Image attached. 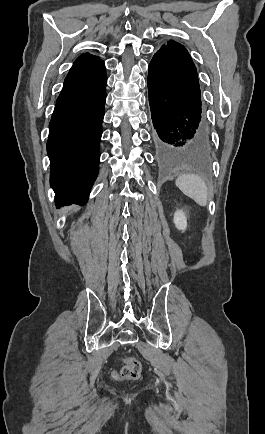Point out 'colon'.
<instances>
[{
	"instance_id": "5ec220e1",
	"label": "colon",
	"mask_w": 265,
	"mask_h": 434,
	"mask_svg": "<svg viewBox=\"0 0 265 434\" xmlns=\"http://www.w3.org/2000/svg\"><path fill=\"white\" fill-rule=\"evenodd\" d=\"M142 372L141 364L138 360L130 358L126 360L122 368L116 372V378L121 381L136 380Z\"/></svg>"
}]
</instances>
